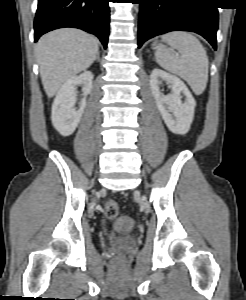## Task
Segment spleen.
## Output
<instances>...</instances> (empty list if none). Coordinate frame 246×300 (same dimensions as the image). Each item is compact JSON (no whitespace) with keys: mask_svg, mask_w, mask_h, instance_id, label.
<instances>
[{"mask_svg":"<svg viewBox=\"0 0 246 300\" xmlns=\"http://www.w3.org/2000/svg\"><path fill=\"white\" fill-rule=\"evenodd\" d=\"M162 41L171 48L157 47L155 57L160 67L184 79L196 95L202 94L208 82L209 61L201 42L185 31L167 33Z\"/></svg>","mask_w":246,"mask_h":300,"instance_id":"1","label":"spleen"}]
</instances>
